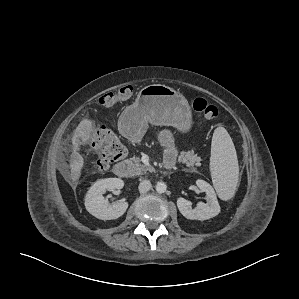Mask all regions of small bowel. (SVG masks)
Masks as SVG:
<instances>
[{"instance_id": "1", "label": "small bowel", "mask_w": 299, "mask_h": 299, "mask_svg": "<svg viewBox=\"0 0 299 299\" xmlns=\"http://www.w3.org/2000/svg\"><path fill=\"white\" fill-rule=\"evenodd\" d=\"M159 141L165 147V164L173 165L177 158V149L174 145V139L170 131L163 130L159 133Z\"/></svg>"}]
</instances>
